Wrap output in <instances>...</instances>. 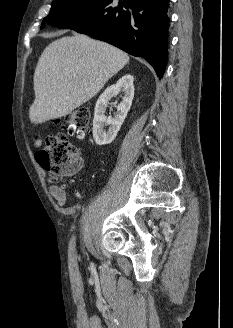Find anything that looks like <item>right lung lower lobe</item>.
I'll list each match as a JSON object with an SVG mask.
<instances>
[{"instance_id":"98d812e1","label":"right lung lower lobe","mask_w":233,"mask_h":328,"mask_svg":"<svg viewBox=\"0 0 233 328\" xmlns=\"http://www.w3.org/2000/svg\"><path fill=\"white\" fill-rule=\"evenodd\" d=\"M168 4L169 0H97L52 25L143 57L162 78L168 54Z\"/></svg>"}]
</instances>
